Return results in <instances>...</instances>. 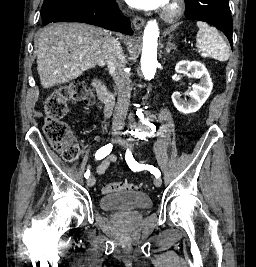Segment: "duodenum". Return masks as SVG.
I'll use <instances>...</instances> for the list:
<instances>
[{
  "label": "duodenum",
  "mask_w": 256,
  "mask_h": 267,
  "mask_svg": "<svg viewBox=\"0 0 256 267\" xmlns=\"http://www.w3.org/2000/svg\"><path fill=\"white\" fill-rule=\"evenodd\" d=\"M94 86L96 88L99 99L104 104V114L105 116H111L112 108L114 104V97L112 93L107 89L104 81L101 78H96L94 80Z\"/></svg>",
  "instance_id": "410a0bca"
}]
</instances>
